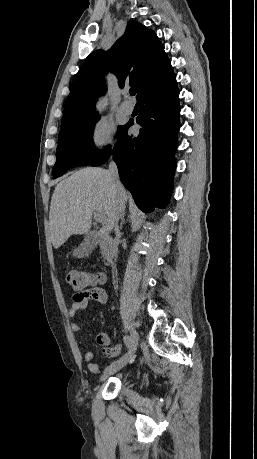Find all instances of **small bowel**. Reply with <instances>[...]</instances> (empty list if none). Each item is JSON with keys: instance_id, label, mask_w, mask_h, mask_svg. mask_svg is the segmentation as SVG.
I'll return each mask as SVG.
<instances>
[{"instance_id": "obj_1", "label": "small bowel", "mask_w": 257, "mask_h": 459, "mask_svg": "<svg viewBox=\"0 0 257 459\" xmlns=\"http://www.w3.org/2000/svg\"><path fill=\"white\" fill-rule=\"evenodd\" d=\"M76 294L73 296V302L68 309L69 318L73 319L80 312H84L91 301H96L100 304H106L108 302V294L103 287L94 286L87 290V295L82 300H76ZM70 328L73 332L80 331L81 327L78 322H72ZM96 341L101 347L102 353L109 358L115 357L121 350V346H111V340L108 334L100 332L96 336ZM84 360L90 372L97 374L99 373V367L95 363L94 355L91 351L84 353Z\"/></svg>"}]
</instances>
